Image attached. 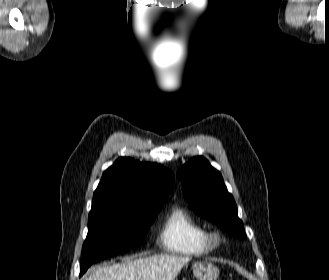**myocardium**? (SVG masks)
<instances>
[{
  "instance_id": "1",
  "label": "myocardium",
  "mask_w": 329,
  "mask_h": 280,
  "mask_svg": "<svg viewBox=\"0 0 329 280\" xmlns=\"http://www.w3.org/2000/svg\"><path fill=\"white\" fill-rule=\"evenodd\" d=\"M209 240L212 245H218L221 242V237L218 232L209 233Z\"/></svg>"
}]
</instances>
